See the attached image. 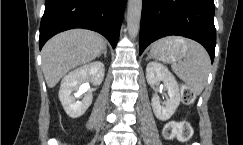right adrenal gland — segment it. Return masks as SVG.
<instances>
[{
  "instance_id": "2a0ac1e0",
  "label": "right adrenal gland",
  "mask_w": 243,
  "mask_h": 145,
  "mask_svg": "<svg viewBox=\"0 0 243 145\" xmlns=\"http://www.w3.org/2000/svg\"><path fill=\"white\" fill-rule=\"evenodd\" d=\"M102 54L104 55L105 58L107 57V47L106 46L104 47L103 52L98 57H100Z\"/></svg>"
}]
</instances>
